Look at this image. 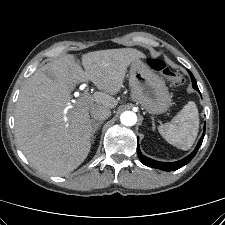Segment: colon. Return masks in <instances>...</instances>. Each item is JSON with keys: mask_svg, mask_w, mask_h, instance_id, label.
Segmentation results:
<instances>
[{"mask_svg": "<svg viewBox=\"0 0 225 225\" xmlns=\"http://www.w3.org/2000/svg\"><path fill=\"white\" fill-rule=\"evenodd\" d=\"M148 64L153 70L161 73L173 86H181L184 84L185 80L183 76L167 67L163 60L150 58Z\"/></svg>", "mask_w": 225, "mask_h": 225, "instance_id": "5ec220e1", "label": "colon"}]
</instances>
